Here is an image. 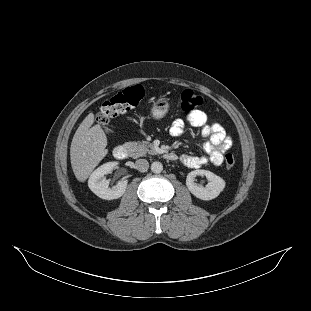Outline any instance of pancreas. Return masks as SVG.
I'll list each match as a JSON object with an SVG mask.
<instances>
[{
  "label": "pancreas",
  "mask_w": 311,
  "mask_h": 311,
  "mask_svg": "<svg viewBox=\"0 0 311 311\" xmlns=\"http://www.w3.org/2000/svg\"><path fill=\"white\" fill-rule=\"evenodd\" d=\"M126 151L132 158L142 157L148 154H156L153 144H147L145 141L141 142H126L124 144Z\"/></svg>",
  "instance_id": "cf45deb5"
}]
</instances>
